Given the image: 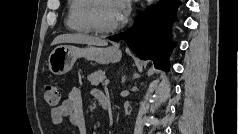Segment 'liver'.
<instances>
[{
  "label": "liver",
  "mask_w": 239,
  "mask_h": 134,
  "mask_svg": "<svg viewBox=\"0 0 239 134\" xmlns=\"http://www.w3.org/2000/svg\"><path fill=\"white\" fill-rule=\"evenodd\" d=\"M60 43H77V44H89L96 46H105L107 45V41L98 37L89 36L86 34L76 33V34H62L57 36L52 45L60 44Z\"/></svg>",
  "instance_id": "1"
}]
</instances>
